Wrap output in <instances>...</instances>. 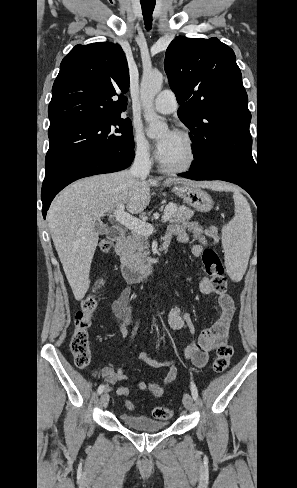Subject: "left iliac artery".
<instances>
[{"instance_id":"left-iliac-artery-1","label":"left iliac artery","mask_w":297,"mask_h":488,"mask_svg":"<svg viewBox=\"0 0 297 488\" xmlns=\"http://www.w3.org/2000/svg\"><path fill=\"white\" fill-rule=\"evenodd\" d=\"M190 389H191L192 397L196 401L198 398V390H197V387L193 381L191 382Z\"/></svg>"}]
</instances>
